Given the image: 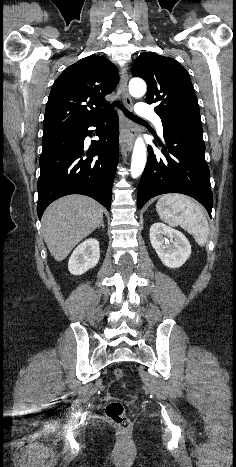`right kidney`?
I'll use <instances>...</instances> for the list:
<instances>
[{"mask_svg":"<svg viewBox=\"0 0 236 467\" xmlns=\"http://www.w3.org/2000/svg\"><path fill=\"white\" fill-rule=\"evenodd\" d=\"M99 259V242L95 238L87 239L73 251L68 262V270L73 275H81L95 267Z\"/></svg>","mask_w":236,"mask_h":467,"instance_id":"ca27d5eb","label":"right kidney"}]
</instances>
